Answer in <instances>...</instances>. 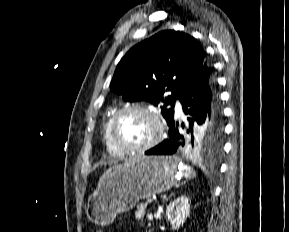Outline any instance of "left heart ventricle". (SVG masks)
<instances>
[{"mask_svg": "<svg viewBox=\"0 0 289 232\" xmlns=\"http://www.w3.org/2000/svg\"><path fill=\"white\" fill-rule=\"evenodd\" d=\"M155 134L153 120L144 112L128 111L123 113L117 122L116 136L127 146L146 144Z\"/></svg>", "mask_w": 289, "mask_h": 232, "instance_id": "left-heart-ventricle-1", "label": "left heart ventricle"}]
</instances>
